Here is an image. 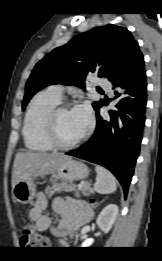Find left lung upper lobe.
<instances>
[{"mask_svg": "<svg viewBox=\"0 0 162 261\" xmlns=\"http://www.w3.org/2000/svg\"><path fill=\"white\" fill-rule=\"evenodd\" d=\"M143 59L137 41L124 27L112 24L77 35L67 44L55 48L34 67L23 99L25 109L32 96L53 84L84 87L89 73L113 82ZM103 101L93 103L95 110Z\"/></svg>", "mask_w": 162, "mask_h": 261, "instance_id": "1", "label": "left lung upper lobe"}]
</instances>
